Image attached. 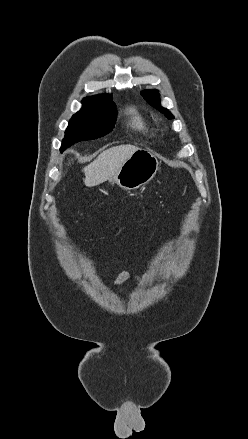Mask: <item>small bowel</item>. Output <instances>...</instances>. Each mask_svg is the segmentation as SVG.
Instances as JSON below:
<instances>
[{
	"label": "small bowel",
	"instance_id": "1",
	"mask_svg": "<svg viewBox=\"0 0 248 439\" xmlns=\"http://www.w3.org/2000/svg\"><path fill=\"white\" fill-rule=\"evenodd\" d=\"M157 271H151L150 273L143 275V276H139V275H135L133 276L134 281L136 282V284L140 285L142 282L149 280V278L151 276L156 275ZM129 278H131V273L128 269H123L119 275L117 276L114 285L115 288L120 287L124 282H126Z\"/></svg>",
	"mask_w": 248,
	"mask_h": 439
}]
</instances>
